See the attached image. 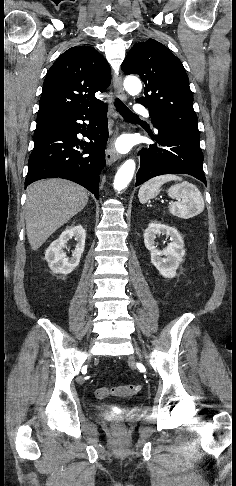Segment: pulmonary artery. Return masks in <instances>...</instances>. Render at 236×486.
<instances>
[{
	"label": "pulmonary artery",
	"instance_id": "obj_1",
	"mask_svg": "<svg viewBox=\"0 0 236 486\" xmlns=\"http://www.w3.org/2000/svg\"><path fill=\"white\" fill-rule=\"evenodd\" d=\"M134 111L136 114L138 115H142V116H149V111L147 108H145L144 106L142 105H136L134 107Z\"/></svg>",
	"mask_w": 236,
	"mask_h": 486
}]
</instances>
